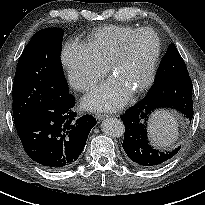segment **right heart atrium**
Returning <instances> with one entry per match:
<instances>
[{
	"label": "right heart atrium",
	"instance_id": "1",
	"mask_svg": "<svg viewBox=\"0 0 205 205\" xmlns=\"http://www.w3.org/2000/svg\"><path fill=\"white\" fill-rule=\"evenodd\" d=\"M61 62L71 85L83 92L91 90L107 71V67L96 59L88 46L76 40L65 44Z\"/></svg>",
	"mask_w": 205,
	"mask_h": 205
}]
</instances>
